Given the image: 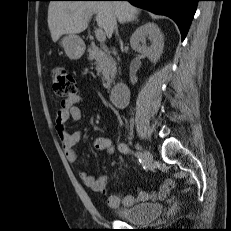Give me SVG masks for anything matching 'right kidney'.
<instances>
[{"label": "right kidney", "instance_id": "right-kidney-1", "mask_svg": "<svg viewBox=\"0 0 231 231\" xmlns=\"http://www.w3.org/2000/svg\"><path fill=\"white\" fill-rule=\"evenodd\" d=\"M151 42L150 46L146 45V39ZM132 49L147 57L152 63H156L162 53L164 47V36L155 23L148 22L136 29L130 38Z\"/></svg>", "mask_w": 231, "mask_h": 231}]
</instances>
